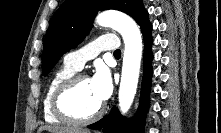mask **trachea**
<instances>
[{
  "instance_id": "3493384b",
  "label": "trachea",
  "mask_w": 221,
  "mask_h": 133,
  "mask_svg": "<svg viewBox=\"0 0 221 133\" xmlns=\"http://www.w3.org/2000/svg\"><path fill=\"white\" fill-rule=\"evenodd\" d=\"M120 55H121V51L119 49L114 51V56H120Z\"/></svg>"
}]
</instances>
